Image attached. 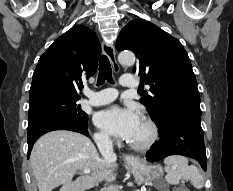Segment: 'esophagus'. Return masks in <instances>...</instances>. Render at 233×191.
<instances>
[{"label": "esophagus", "mask_w": 233, "mask_h": 191, "mask_svg": "<svg viewBox=\"0 0 233 191\" xmlns=\"http://www.w3.org/2000/svg\"><path fill=\"white\" fill-rule=\"evenodd\" d=\"M102 51L108 57L114 72H116V73L119 72L120 67H119V64L117 63V60H116V53H115V49H114L113 45L107 41H103L102 42ZM125 160L127 162L133 163V162H137L138 158L135 156H126Z\"/></svg>", "instance_id": "34e87169"}]
</instances>
